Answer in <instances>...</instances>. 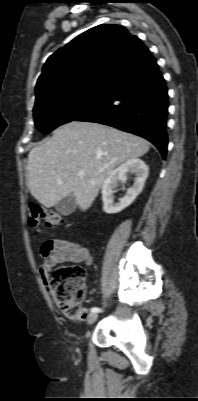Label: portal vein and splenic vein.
Instances as JSON below:
<instances>
[{
  "instance_id": "portal-vein-and-splenic-vein-1",
  "label": "portal vein and splenic vein",
  "mask_w": 198,
  "mask_h": 401,
  "mask_svg": "<svg viewBox=\"0 0 198 401\" xmlns=\"http://www.w3.org/2000/svg\"><path fill=\"white\" fill-rule=\"evenodd\" d=\"M78 175H79L80 177H83V176L85 175V172H84V171H79V172H78Z\"/></svg>"
}]
</instances>
